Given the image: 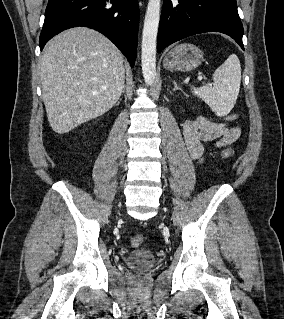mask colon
I'll use <instances>...</instances> for the list:
<instances>
[{"label":"colon","mask_w":284,"mask_h":319,"mask_svg":"<svg viewBox=\"0 0 284 319\" xmlns=\"http://www.w3.org/2000/svg\"><path fill=\"white\" fill-rule=\"evenodd\" d=\"M238 118V115L236 113H231L229 115H227L226 119L229 120V121H234ZM222 155L224 157H231L233 155V151L231 149H224L222 150ZM145 241V236L142 235V234H137L135 236H133L131 238V245L134 246V247H138L140 245H142Z\"/></svg>","instance_id":"colon-1"}]
</instances>
